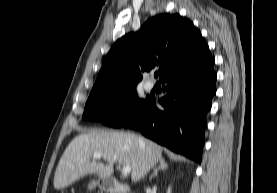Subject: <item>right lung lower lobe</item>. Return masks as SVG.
<instances>
[{
	"instance_id": "98d812e1",
	"label": "right lung lower lobe",
	"mask_w": 277,
	"mask_h": 193,
	"mask_svg": "<svg viewBox=\"0 0 277 193\" xmlns=\"http://www.w3.org/2000/svg\"><path fill=\"white\" fill-rule=\"evenodd\" d=\"M214 59L209 48L189 63L171 71L162 82L168 94L155 107L151 96L121 127L133 128L174 152L201 162L206 114L216 93Z\"/></svg>"
}]
</instances>
